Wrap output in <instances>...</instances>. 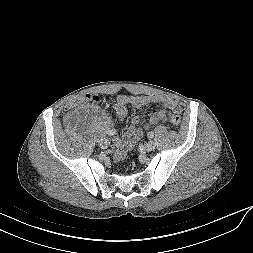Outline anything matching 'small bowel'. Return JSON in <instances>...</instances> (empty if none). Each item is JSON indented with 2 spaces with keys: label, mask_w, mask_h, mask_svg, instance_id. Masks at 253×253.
Returning <instances> with one entry per match:
<instances>
[{
  "label": "small bowel",
  "mask_w": 253,
  "mask_h": 253,
  "mask_svg": "<svg viewBox=\"0 0 253 253\" xmlns=\"http://www.w3.org/2000/svg\"><path fill=\"white\" fill-rule=\"evenodd\" d=\"M153 103L161 104L165 110L158 111L154 113L149 121L142 126V118L138 115L132 117L131 124L128 126L121 138H118L116 143L118 150L114 154V161L119 162L123 160L127 152L134 146L137 139H139L143 132L150 128L152 125H156L160 122H164L167 119V111L173 113L181 112V105L179 102L171 97L161 96V95H143V96H128L120 95L117 99L116 114L119 121H122L126 115V105H131L132 107L140 110L145 106Z\"/></svg>",
  "instance_id": "c3829d8e"
}]
</instances>
